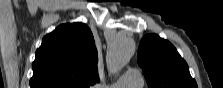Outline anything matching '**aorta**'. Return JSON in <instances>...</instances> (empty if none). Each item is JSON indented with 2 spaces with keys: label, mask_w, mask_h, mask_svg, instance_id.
<instances>
[{
  "label": "aorta",
  "mask_w": 223,
  "mask_h": 88,
  "mask_svg": "<svg viewBox=\"0 0 223 88\" xmlns=\"http://www.w3.org/2000/svg\"><path fill=\"white\" fill-rule=\"evenodd\" d=\"M135 51V43L130 38H117L108 48L107 65L110 70H121L131 59Z\"/></svg>",
  "instance_id": "1"
}]
</instances>
